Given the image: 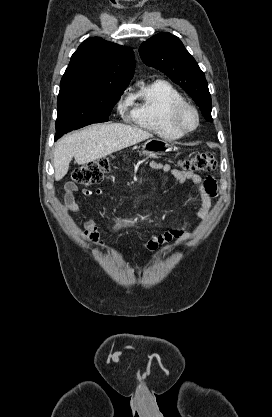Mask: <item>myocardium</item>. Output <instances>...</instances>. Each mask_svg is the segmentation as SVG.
Masks as SVG:
<instances>
[{
    "mask_svg": "<svg viewBox=\"0 0 272 417\" xmlns=\"http://www.w3.org/2000/svg\"><path fill=\"white\" fill-rule=\"evenodd\" d=\"M186 112H191L194 116V124L191 127H187L183 124V116ZM169 121L171 126L180 134L186 135L195 131L200 123V116L197 108L186 102H180L175 104L170 111Z\"/></svg>",
    "mask_w": 272,
    "mask_h": 417,
    "instance_id": "obj_1",
    "label": "myocardium"
}]
</instances>
